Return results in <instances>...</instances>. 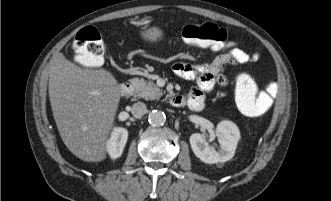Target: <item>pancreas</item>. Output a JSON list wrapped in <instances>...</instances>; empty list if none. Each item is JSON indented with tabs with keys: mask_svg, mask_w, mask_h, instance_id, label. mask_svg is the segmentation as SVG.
Wrapping results in <instances>:
<instances>
[{
	"mask_svg": "<svg viewBox=\"0 0 331 201\" xmlns=\"http://www.w3.org/2000/svg\"><path fill=\"white\" fill-rule=\"evenodd\" d=\"M131 84L134 88V96L137 98L154 100L163 95L162 90L152 81L146 82L144 79L133 78Z\"/></svg>",
	"mask_w": 331,
	"mask_h": 201,
	"instance_id": "pancreas-1",
	"label": "pancreas"
}]
</instances>
